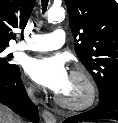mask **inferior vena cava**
<instances>
[{"label":"inferior vena cava","mask_w":118,"mask_h":123,"mask_svg":"<svg viewBox=\"0 0 118 123\" xmlns=\"http://www.w3.org/2000/svg\"><path fill=\"white\" fill-rule=\"evenodd\" d=\"M28 94H29V96L31 97V99L34 100V95H33V90H32V88H29V89H28Z\"/></svg>","instance_id":"1"}]
</instances>
